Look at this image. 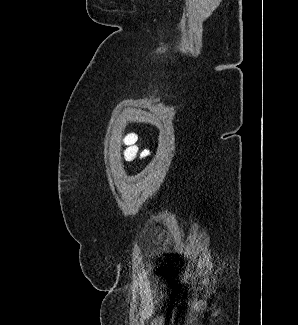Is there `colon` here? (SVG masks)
I'll return each mask as SVG.
<instances>
[{
    "mask_svg": "<svg viewBox=\"0 0 298 325\" xmlns=\"http://www.w3.org/2000/svg\"><path fill=\"white\" fill-rule=\"evenodd\" d=\"M136 142V136L135 135H128L125 139V158L126 160H133L136 158L138 154V148L135 144Z\"/></svg>",
    "mask_w": 298,
    "mask_h": 325,
    "instance_id": "colon-1",
    "label": "colon"
}]
</instances>
